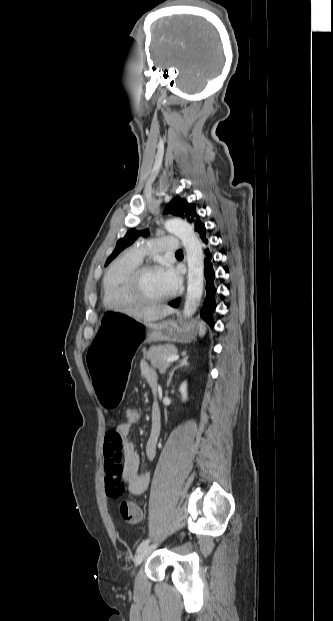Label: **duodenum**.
<instances>
[{"label": "duodenum", "instance_id": "1", "mask_svg": "<svg viewBox=\"0 0 333 621\" xmlns=\"http://www.w3.org/2000/svg\"><path fill=\"white\" fill-rule=\"evenodd\" d=\"M152 389L155 391V386H152ZM152 420H153L154 425L158 426L160 422V416L157 413H155L152 416Z\"/></svg>", "mask_w": 333, "mask_h": 621}]
</instances>
